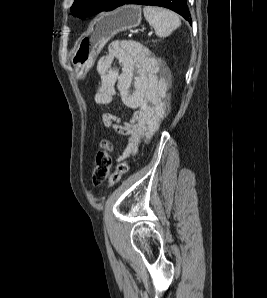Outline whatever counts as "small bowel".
I'll return each instance as SVG.
<instances>
[{"label":"small bowel","instance_id":"obj_1","mask_svg":"<svg viewBox=\"0 0 267 298\" xmlns=\"http://www.w3.org/2000/svg\"><path fill=\"white\" fill-rule=\"evenodd\" d=\"M99 81L94 101L111 105L119 96L123 105L133 109L129 121L114 113H104L102 123L127 138L122 159L134 155L142 141L148 140L159 128L169 111L167 90L170 73L140 43L116 41L97 63ZM119 111L120 107H116Z\"/></svg>","mask_w":267,"mask_h":298}]
</instances>
